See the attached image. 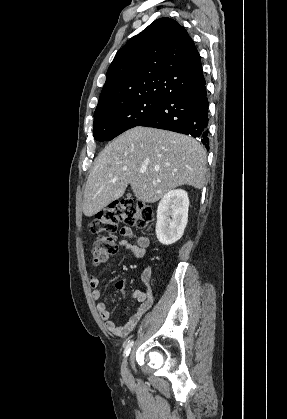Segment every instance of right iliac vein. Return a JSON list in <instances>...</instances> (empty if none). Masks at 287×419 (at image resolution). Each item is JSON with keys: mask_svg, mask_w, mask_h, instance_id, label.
<instances>
[{"mask_svg": "<svg viewBox=\"0 0 287 419\" xmlns=\"http://www.w3.org/2000/svg\"><path fill=\"white\" fill-rule=\"evenodd\" d=\"M122 376L127 379L130 376V372L128 369V359H125L122 365Z\"/></svg>", "mask_w": 287, "mask_h": 419, "instance_id": "1", "label": "right iliac vein"}]
</instances>
